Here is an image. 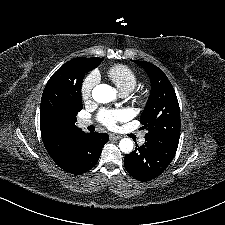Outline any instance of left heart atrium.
<instances>
[{"instance_id":"obj_1","label":"left heart atrium","mask_w":225,"mask_h":225,"mask_svg":"<svg viewBox=\"0 0 225 225\" xmlns=\"http://www.w3.org/2000/svg\"><path fill=\"white\" fill-rule=\"evenodd\" d=\"M128 118L129 113L124 109H105L99 113L100 122L109 129H116L119 122H124Z\"/></svg>"}]
</instances>
